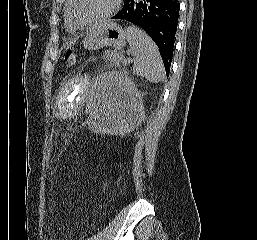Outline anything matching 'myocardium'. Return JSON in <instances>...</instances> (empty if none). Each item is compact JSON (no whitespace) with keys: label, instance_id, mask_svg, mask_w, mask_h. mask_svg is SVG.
Instances as JSON below:
<instances>
[{"label":"myocardium","instance_id":"obj_1","mask_svg":"<svg viewBox=\"0 0 257 240\" xmlns=\"http://www.w3.org/2000/svg\"><path fill=\"white\" fill-rule=\"evenodd\" d=\"M73 2H74V0H66V14H67L69 21L76 28H89V27L95 26V25L105 21L106 19H108L109 17H111L114 14V12L117 10V8L119 7V4H120V0H112V4H111L110 8L105 13H103L102 15H100L99 17H97L93 20H90L87 22H80V21L76 20L72 14Z\"/></svg>","mask_w":257,"mask_h":240}]
</instances>
